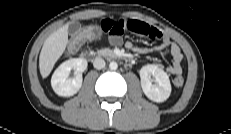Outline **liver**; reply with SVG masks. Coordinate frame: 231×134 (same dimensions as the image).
Returning a JSON list of instances; mask_svg holds the SVG:
<instances>
[{
  "instance_id": "6515ba94",
  "label": "liver",
  "mask_w": 231,
  "mask_h": 134,
  "mask_svg": "<svg viewBox=\"0 0 231 134\" xmlns=\"http://www.w3.org/2000/svg\"><path fill=\"white\" fill-rule=\"evenodd\" d=\"M68 24L53 32L44 42L39 56L41 76L46 78L68 44Z\"/></svg>"
}]
</instances>
